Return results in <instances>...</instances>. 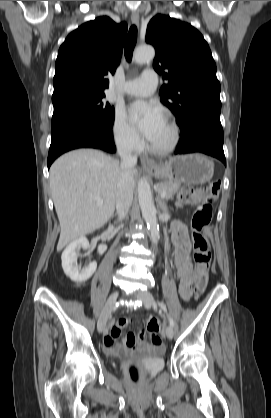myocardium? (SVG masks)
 <instances>
[{"label": "myocardium", "instance_id": "obj_1", "mask_svg": "<svg viewBox=\"0 0 271 418\" xmlns=\"http://www.w3.org/2000/svg\"><path fill=\"white\" fill-rule=\"evenodd\" d=\"M165 120L167 121V123L169 124L172 130V139L164 147L155 146L154 144L150 142L149 150L150 152L156 155H166V154L171 153L177 147L179 140H180V129H179L178 124L171 117H166Z\"/></svg>", "mask_w": 271, "mask_h": 418}]
</instances>
